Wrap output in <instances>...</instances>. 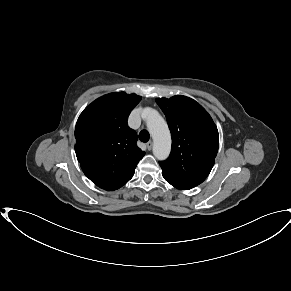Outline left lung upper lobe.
Instances as JSON below:
<instances>
[{
  "instance_id": "1",
  "label": "left lung upper lobe",
  "mask_w": 291,
  "mask_h": 291,
  "mask_svg": "<svg viewBox=\"0 0 291 291\" xmlns=\"http://www.w3.org/2000/svg\"><path fill=\"white\" fill-rule=\"evenodd\" d=\"M172 137L171 154L159 162L162 175L190 187L209 175L217 155L219 135L210 115L195 100L176 95L157 98Z\"/></svg>"
}]
</instances>
